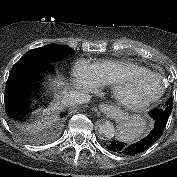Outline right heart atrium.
Listing matches in <instances>:
<instances>
[{"label":"right heart atrium","mask_w":177,"mask_h":177,"mask_svg":"<svg viewBox=\"0 0 177 177\" xmlns=\"http://www.w3.org/2000/svg\"><path fill=\"white\" fill-rule=\"evenodd\" d=\"M72 74L74 83L78 87L95 90L99 86L95 67L83 59H79L74 63Z\"/></svg>","instance_id":"right-heart-atrium-1"}]
</instances>
